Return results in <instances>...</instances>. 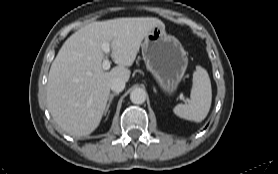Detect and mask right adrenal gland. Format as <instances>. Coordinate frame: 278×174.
I'll list each match as a JSON object with an SVG mask.
<instances>
[{
    "mask_svg": "<svg viewBox=\"0 0 278 174\" xmlns=\"http://www.w3.org/2000/svg\"><path fill=\"white\" fill-rule=\"evenodd\" d=\"M117 95H119V93L110 94L108 104H107L106 109H105V111H104V114H105V115L107 114V112H108V110H109V107H110V105H111V103H112L113 98H114L115 96H117Z\"/></svg>",
    "mask_w": 278,
    "mask_h": 174,
    "instance_id": "right-adrenal-gland-1",
    "label": "right adrenal gland"
}]
</instances>
